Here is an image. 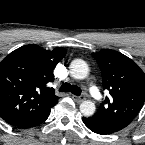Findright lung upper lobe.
Returning <instances> with one entry per match:
<instances>
[{"mask_svg": "<svg viewBox=\"0 0 145 145\" xmlns=\"http://www.w3.org/2000/svg\"><path fill=\"white\" fill-rule=\"evenodd\" d=\"M66 49L25 45L0 62V117L10 125L43 115L59 97L48 84Z\"/></svg>", "mask_w": 145, "mask_h": 145, "instance_id": "right-lung-upper-lobe-1", "label": "right lung upper lobe"}]
</instances>
